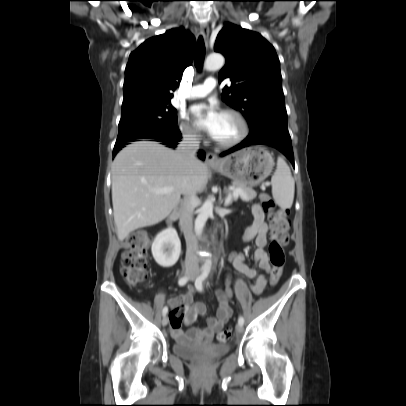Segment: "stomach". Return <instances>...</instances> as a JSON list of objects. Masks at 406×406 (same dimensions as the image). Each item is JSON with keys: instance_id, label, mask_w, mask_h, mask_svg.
Wrapping results in <instances>:
<instances>
[{"instance_id": "stomach-1", "label": "stomach", "mask_w": 406, "mask_h": 406, "mask_svg": "<svg viewBox=\"0 0 406 406\" xmlns=\"http://www.w3.org/2000/svg\"><path fill=\"white\" fill-rule=\"evenodd\" d=\"M274 160L261 146H251L223 158L212 167L234 183L255 186L263 182L271 173Z\"/></svg>"}]
</instances>
